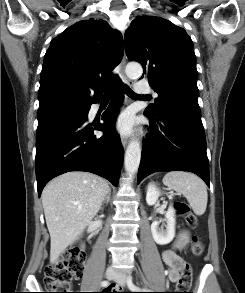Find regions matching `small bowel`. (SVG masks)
<instances>
[{
    "label": "small bowel",
    "instance_id": "c3829d8e",
    "mask_svg": "<svg viewBox=\"0 0 245 293\" xmlns=\"http://www.w3.org/2000/svg\"><path fill=\"white\" fill-rule=\"evenodd\" d=\"M162 260L167 266V277L169 281L175 283L180 278L181 270L186 266V262L178 256L174 250L168 249L162 253ZM115 293H126L123 290H117Z\"/></svg>",
    "mask_w": 245,
    "mask_h": 293
}]
</instances>
